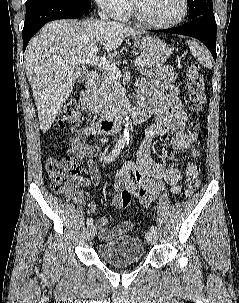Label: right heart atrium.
<instances>
[{
    "instance_id": "right-heart-atrium-1",
    "label": "right heart atrium",
    "mask_w": 239,
    "mask_h": 303,
    "mask_svg": "<svg viewBox=\"0 0 239 303\" xmlns=\"http://www.w3.org/2000/svg\"><path fill=\"white\" fill-rule=\"evenodd\" d=\"M97 5L113 18L120 19L129 10V0H95Z\"/></svg>"
}]
</instances>
